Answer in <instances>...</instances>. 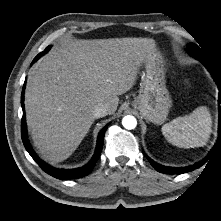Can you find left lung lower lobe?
I'll return each mask as SVG.
<instances>
[{
    "label": "left lung lower lobe",
    "instance_id": "left-lung-lower-lobe-1",
    "mask_svg": "<svg viewBox=\"0 0 221 221\" xmlns=\"http://www.w3.org/2000/svg\"><path fill=\"white\" fill-rule=\"evenodd\" d=\"M201 62L205 65V67L208 69V71L214 76L212 69L210 68V66L207 64L206 59H202ZM217 80V78H216ZM219 103V115H220V126H219V133H218V137L221 136V109H220V104H221V95H220V99L218 101ZM144 155L147 157L148 161L150 162V164L159 172L161 173H165V174H182V173H186L192 170H195L199 167H201L204 163L205 160L198 162L194 165L191 166H187V167H182V168H173V167H166L160 164H157L156 162H154L152 159H150L145 153Z\"/></svg>",
    "mask_w": 221,
    "mask_h": 221
}]
</instances>
